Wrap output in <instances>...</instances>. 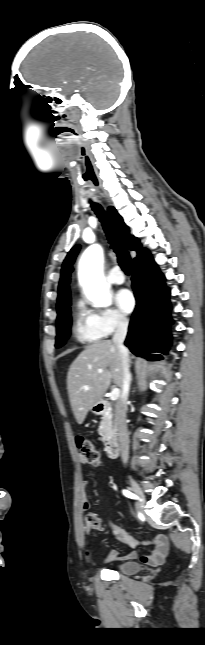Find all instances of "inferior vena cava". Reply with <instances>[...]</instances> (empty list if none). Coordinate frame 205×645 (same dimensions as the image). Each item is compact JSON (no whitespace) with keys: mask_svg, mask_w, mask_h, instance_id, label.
<instances>
[{"mask_svg":"<svg viewBox=\"0 0 205 645\" xmlns=\"http://www.w3.org/2000/svg\"><path fill=\"white\" fill-rule=\"evenodd\" d=\"M128 329V320L125 317H119L117 328L113 336V343L117 346L122 364V393L115 408V423L118 432V439L120 443L121 459L123 463L128 462L129 458V434L126 424V401L129 394L131 383V373L129 370V351L124 346Z\"/></svg>","mask_w":205,"mask_h":645,"instance_id":"602c4592","label":"inferior vena cava"}]
</instances>
